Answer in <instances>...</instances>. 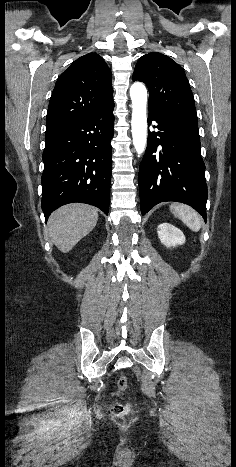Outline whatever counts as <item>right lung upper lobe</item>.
I'll return each mask as SVG.
<instances>
[{
	"instance_id": "obj_1",
	"label": "right lung upper lobe",
	"mask_w": 236,
	"mask_h": 467,
	"mask_svg": "<svg viewBox=\"0 0 236 467\" xmlns=\"http://www.w3.org/2000/svg\"><path fill=\"white\" fill-rule=\"evenodd\" d=\"M112 75L105 61L88 53L72 63L58 78L51 95L46 131L83 120L112 105Z\"/></svg>"
}]
</instances>
